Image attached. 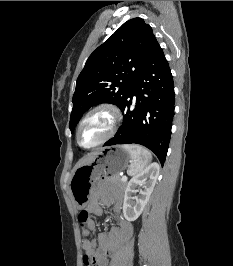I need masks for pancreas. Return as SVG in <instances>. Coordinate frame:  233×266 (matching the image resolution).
I'll return each instance as SVG.
<instances>
[{
  "instance_id": "obj_1",
  "label": "pancreas",
  "mask_w": 233,
  "mask_h": 266,
  "mask_svg": "<svg viewBox=\"0 0 233 266\" xmlns=\"http://www.w3.org/2000/svg\"><path fill=\"white\" fill-rule=\"evenodd\" d=\"M110 181H112L113 183L119 185L120 187H125L126 186V182L121 180L119 174L118 175H113L110 178Z\"/></svg>"
}]
</instances>
